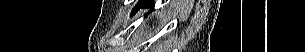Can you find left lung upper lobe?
Here are the masks:
<instances>
[{"instance_id":"obj_1","label":"left lung upper lobe","mask_w":305,"mask_h":52,"mask_svg":"<svg viewBox=\"0 0 305 52\" xmlns=\"http://www.w3.org/2000/svg\"><path fill=\"white\" fill-rule=\"evenodd\" d=\"M140 6V3H139V5L137 6V7H135V9L134 10H136L138 7Z\"/></svg>"}]
</instances>
